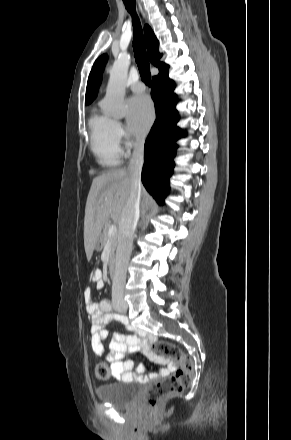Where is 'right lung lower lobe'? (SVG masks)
<instances>
[{
  "label": "right lung lower lobe",
  "mask_w": 291,
  "mask_h": 440,
  "mask_svg": "<svg viewBox=\"0 0 291 440\" xmlns=\"http://www.w3.org/2000/svg\"><path fill=\"white\" fill-rule=\"evenodd\" d=\"M173 81L168 70L153 77L152 99L155 103L156 120L145 142L142 182L159 204L169 193V178L175 166L174 157L180 138L179 120L175 109L177 95L173 93Z\"/></svg>",
  "instance_id": "98d812e1"
}]
</instances>
